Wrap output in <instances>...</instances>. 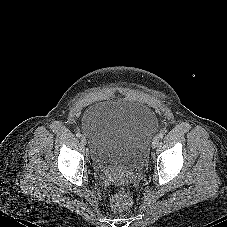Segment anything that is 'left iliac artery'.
Listing matches in <instances>:
<instances>
[{
	"mask_svg": "<svg viewBox=\"0 0 227 227\" xmlns=\"http://www.w3.org/2000/svg\"><path fill=\"white\" fill-rule=\"evenodd\" d=\"M158 136H159V138H161V139H162V138L164 137V133H163V132H161Z\"/></svg>",
	"mask_w": 227,
	"mask_h": 227,
	"instance_id": "1",
	"label": "left iliac artery"
}]
</instances>
